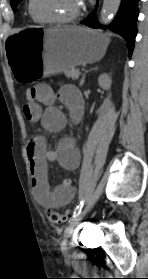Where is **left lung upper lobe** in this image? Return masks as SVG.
Listing matches in <instances>:
<instances>
[{"mask_svg": "<svg viewBox=\"0 0 148 279\" xmlns=\"http://www.w3.org/2000/svg\"><path fill=\"white\" fill-rule=\"evenodd\" d=\"M21 0H11V6H12V9L15 10L17 4L20 2Z\"/></svg>", "mask_w": 148, "mask_h": 279, "instance_id": "1", "label": "left lung upper lobe"}]
</instances>
